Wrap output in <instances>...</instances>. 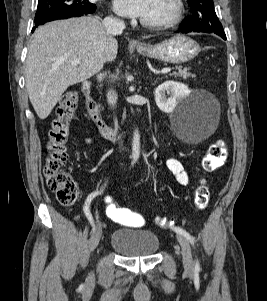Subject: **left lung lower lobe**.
I'll use <instances>...</instances> for the list:
<instances>
[{
    "instance_id": "0a47b994",
    "label": "left lung lower lobe",
    "mask_w": 267,
    "mask_h": 301,
    "mask_svg": "<svg viewBox=\"0 0 267 301\" xmlns=\"http://www.w3.org/2000/svg\"><path fill=\"white\" fill-rule=\"evenodd\" d=\"M178 31L182 32V33H188V32H205V31H202V30H197V29H190V28H186V27H180L178 29ZM205 33H208V32H205ZM219 35L220 37H222L224 40H226V35L225 34H217Z\"/></svg>"
}]
</instances>
